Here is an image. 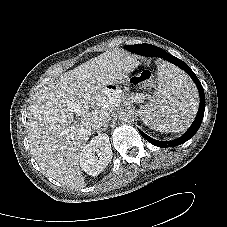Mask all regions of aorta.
I'll list each match as a JSON object with an SVG mask.
<instances>
[{
    "instance_id": "obj_1",
    "label": "aorta",
    "mask_w": 227,
    "mask_h": 227,
    "mask_svg": "<svg viewBox=\"0 0 227 227\" xmlns=\"http://www.w3.org/2000/svg\"><path fill=\"white\" fill-rule=\"evenodd\" d=\"M118 118L123 124H131L135 120V113L132 110H122L119 112Z\"/></svg>"
}]
</instances>
